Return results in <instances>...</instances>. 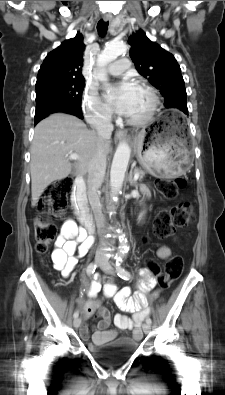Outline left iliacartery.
Here are the masks:
<instances>
[{
	"instance_id": "obj_1",
	"label": "left iliac artery",
	"mask_w": 225,
	"mask_h": 395,
	"mask_svg": "<svg viewBox=\"0 0 225 395\" xmlns=\"http://www.w3.org/2000/svg\"><path fill=\"white\" fill-rule=\"evenodd\" d=\"M122 261H123L122 258H117V260H116V271H117V274H118V276L120 278H122L124 280H129L131 278V274H130V272H128L127 270H125L124 268L121 267ZM146 322L148 324L152 323L150 318H147Z\"/></svg>"
}]
</instances>
